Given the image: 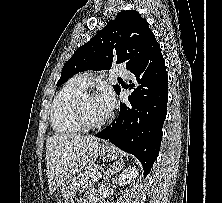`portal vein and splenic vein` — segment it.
<instances>
[{
  "label": "portal vein and splenic vein",
  "instance_id": "1",
  "mask_svg": "<svg viewBox=\"0 0 222 203\" xmlns=\"http://www.w3.org/2000/svg\"><path fill=\"white\" fill-rule=\"evenodd\" d=\"M97 179H98L97 177H94L92 180H94V181H95V180H97Z\"/></svg>",
  "mask_w": 222,
  "mask_h": 203
}]
</instances>
